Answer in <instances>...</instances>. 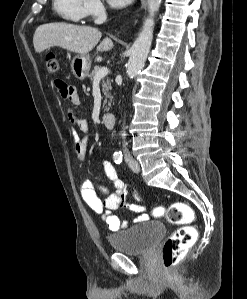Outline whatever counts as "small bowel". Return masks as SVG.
<instances>
[{
	"label": "small bowel",
	"mask_w": 247,
	"mask_h": 299,
	"mask_svg": "<svg viewBox=\"0 0 247 299\" xmlns=\"http://www.w3.org/2000/svg\"><path fill=\"white\" fill-rule=\"evenodd\" d=\"M55 86L59 94L73 105H78L80 100L77 90L74 86L66 83L61 79L55 80ZM69 120L71 123L77 125L84 133V137L80 138L73 130L72 136L74 141V150L79 163H83L86 157L88 143H89V125L86 119L74 114L69 113ZM104 174L110 186L98 182L97 185L102 192L104 199H100L95 191L94 185L90 180H85L80 186L81 196L84 202L97 214H100L105 224L110 231H118L120 228L127 225L126 221H122L118 216L112 214L113 211L119 208H125L133 212L141 213L146 210L145 207L128 204L125 201L127 189L126 184L118 177L117 171L111 162L104 160L101 163ZM136 199L140 200L136 192L134 193ZM147 214H141L135 221L148 220Z\"/></svg>",
	"instance_id": "obj_1"
}]
</instances>
